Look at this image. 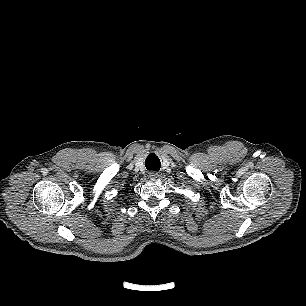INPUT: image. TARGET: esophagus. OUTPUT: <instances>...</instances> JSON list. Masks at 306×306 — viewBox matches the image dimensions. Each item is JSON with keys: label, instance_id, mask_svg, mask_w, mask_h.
<instances>
[{"label": "esophagus", "instance_id": "34e87169", "mask_svg": "<svg viewBox=\"0 0 306 306\" xmlns=\"http://www.w3.org/2000/svg\"><path fill=\"white\" fill-rule=\"evenodd\" d=\"M158 173H156V172H150L149 173V178L150 179H156V178H158Z\"/></svg>", "mask_w": 306, "mask_h": 306}]
</instances>
